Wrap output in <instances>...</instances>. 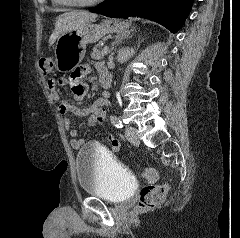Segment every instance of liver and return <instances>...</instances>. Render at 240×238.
Masks as SVG:
<instances>
[{"mask_svg":"<svg viewBox=\"0 0 240 238\" xmlns=\"http://www.w3.org/2000/svg\"><path fill=\"white\" fill-rule=\"evenodd\" d=\"M97 15L85 11L63 13L57 18L55 30L49 38V45H53L60 34L77 30L85 24L94 21Z\"/></svg>","mask_w":240,"mask_h":238,"instance_id":"liver-1","label":"liver"}]
</instances>
